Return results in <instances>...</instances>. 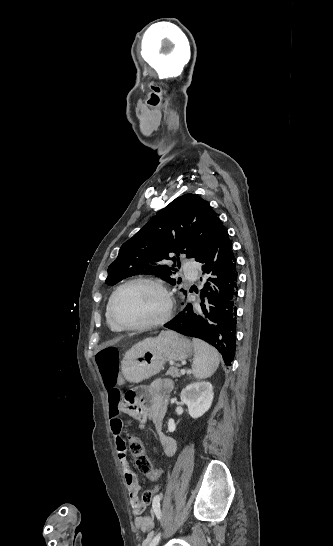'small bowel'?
Wrapping results in <instances>:
<instances>
[{
  "label": "small bowel",
  "instance_id": "1",
  "mask_svg": "<svg viewBox=\"0 0 333 546\" xmlns=\"http://www.w3.org/2000/svg\"><path fill=\"white\" fill-rule=\"evenodd\" d=\"M126 372L117 375L118 387L125 386ZM173 390V382L170 379H156L146 386H141L136 390V395L139 405L132 408L121 405L119 402L112 403L110 400V428L115 440L118 459L123 469L126 485L129 491L130 502L134 513V526L136 529L152 533L155 519L161 514L160 504L162 495H157L153 501L150 513L143 515L145 505L139 500L138 494L140 491V483L133 471L127 455L126 443L123 438L124 421L120 417L123 410H129V413L141 422V428H144V423L150 420L159 433V440L163 452L167 456H173L176 452L177 445L175 440L163 431V420L166 407L169 402L171 392ZM151 481L159 478V475L148 477Z\"/></svg>",
  "mask_w": 333,
  "mask_h": 546
}]
</instances>
